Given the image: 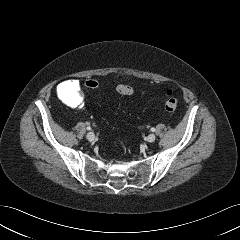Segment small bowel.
Returning a JSON list of instances; mask_svg holds the SVG:
<instances>
[{
	"instance_id": "small-bowel-1",
	"label": "small bowel",
	"mask_w": 240,
	"mask_h": 240,
	"mask_svg": "<svg viewBox=\"0 0 240 240\" xmlns=\"http://www.w3.org/2000/svg\"><path fill=\"white\" fill-rule=\"evenodd\" d=\"M66 82L71 84V89H68V88L62 89V85H61L60 93L62 94V96L74 106L83 107V97L80 93L79 82L77 80H69Z\"/></svg>"
}]
</instances>
